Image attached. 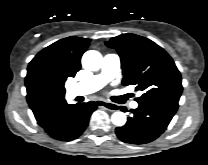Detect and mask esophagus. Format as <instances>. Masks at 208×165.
<instances>
[{"label":"esophagus","instance_id":"1","mask_svg":"<svg viewBox=\"0 0 208 165\" xmlns=\"http://www.w3.org/2000/svg\"><path fill=\"white\" fill-rule=\"evenodd\" d=\"M97 105L109 111H116L118 108L117 105L104 100H98Z\"/></svg>","mask_w":208,"mask_h":165}]
</instances>
